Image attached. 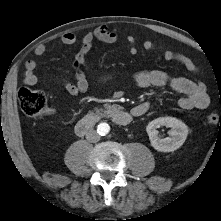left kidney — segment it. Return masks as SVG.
<instances>
[{"instance_id": "1", "label": "left kidney", "mask_w": 221, "mask_h": 221, "mask_svg": "<svg viewBox=\"0 0 221 221\" xmlns=\"http://www.w3.org/2000/svg\"><path fill=\"white\" fill-rule=\"evenodd\" d=\"M166 126L171 128L170 137L161 139L157 128ZM151 145L160 152H173L180 148L188 135V126L174 117H160L149 122L146 127Z\"/></svg>"}]
</instances>
